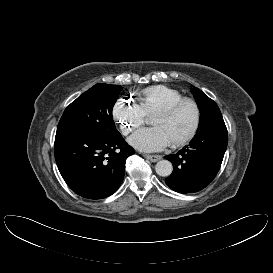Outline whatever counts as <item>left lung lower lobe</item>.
Listing matches in <instances>:
<instances>
[{"instance_id":"0a47b994","label":"left lung lower lobe","mask_w":273,"mask_h":273,"mask_svg":"<svg viewBox=\"0 0 273 273\" xmlns=\"http://www.w3.org/2000/svg\"><path fill=\"white\" fill-rule=\"evenodd\" d=\"M227 143V131L201 134L177 154L165 156L173 164V172L165 179L166 184L179 193L204 189L218 173Z\"/></svg>"}]
</instances>
